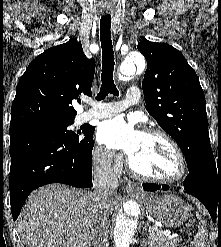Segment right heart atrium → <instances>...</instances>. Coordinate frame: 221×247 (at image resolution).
Returning a JSON list of instances; mask_svg holds the SVG:
<instances>
[{
  "label": "right heart atrium",
  "instance_id": "1",
  "mask_svg": "<svg viewBox=\"0 0 221 247\" xmlns=\"http://www.w3.org/2000/svg\"><path fill=\"white\" fill-rule=\"evenodd\" d=\"M93 161L99 169L112 170L115 173H119L123 166L121 155H117L113 151L100 146L93 151Z\"/></svg>",
  "mask_w": 221,
  "mask_h": 247
}]
</instances>
